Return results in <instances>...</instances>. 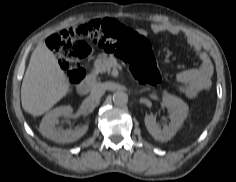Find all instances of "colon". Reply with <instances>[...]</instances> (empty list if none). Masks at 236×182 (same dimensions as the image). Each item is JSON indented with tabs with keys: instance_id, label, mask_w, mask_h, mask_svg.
<instances>
[{
	"instance_id": "1",
	"label": "colon",
	"mask_w": 236,
	"mask_h": 182,
	"mask_svg": "<svg viewBox=\"0 0 236 182\" xmlns=\"http://www.w3.org/2000/svg\"><path fill=\"white\" fill-rule=\"evenodd\" d=\"M91 43L98 44L129 63L135 77L143 84L156 85L161 79L149 41L114 19L92 21L74 29L52 34L47 44L72 84L85 77L83 61L91 53Z\"/></svg>"
}]
</instances>
